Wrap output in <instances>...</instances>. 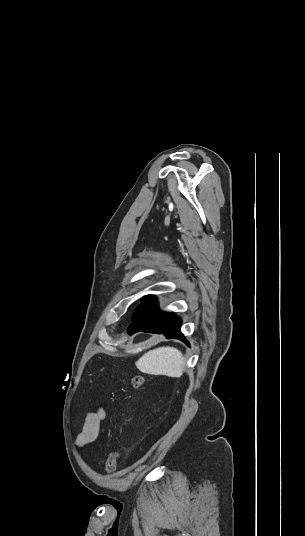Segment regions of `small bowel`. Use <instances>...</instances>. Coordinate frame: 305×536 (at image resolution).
<instances>
[{"label": "small bowel", "mask_w": 305, "mask_h": 536, "mask_svg": "<svg viewBox=\"0 0 305 536\" xmlns=\"http://www.w3.org/2000/svg\"><path fill=\"white\" fill-rule=\"evenodd\" d=\"M104 416L105 413L103 410L87 413L82 431L77 438V444L79 446H85L96 441L100 437L102 433L101 423Z\"/></svg>", "instance_id": "obj_1"}]
</instances>
